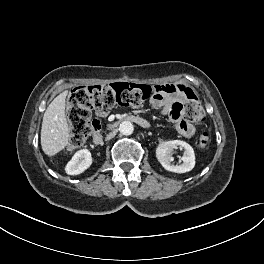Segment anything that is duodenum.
<instances>
[{"label": "duodenum", "mask_w": 264, "mask_h": 264, "mask_svg": "<svg viewBox=\"0 0 264 264\" xmlns=\"http://www.w3.org/2000/svg\"><path fill=\"white\" fill-rule=\"evenodd\" d=\"M124 120L136 123L137 125L144 127V128L149 127V122L140 116L127 115L124 117ZM117 125H118V122L111 123L108 129L114 130L117 127ZM92 142L95 145H100L103 142V135L100 132H96L92 137Z\"/></svg>", "instance_id": "1"}]
</instances>
